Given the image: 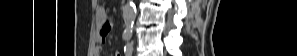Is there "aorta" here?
Segmentation results:
<instances>
[{
    "mask_svg": "<svg viewBox=\"0 0 297 56\" xmlns=\"http://www.w3.org/2000/svg\"><path fill=\"white\" fill-rule=\"evenodd\" d=\"M136 17V8L132 0L127 3L123 9V18L125 22V31L131 33Z\"/></svg>",
    "mask_w": 297,
    "mask_h": 56,
    "instance_id": "aorta-1",
    "label": "aorta"
}]
</instances>
